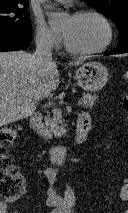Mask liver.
Returning <instances> with one entry per match:
<instances>
[{"label":"liver","mask_w":128,"mask_h":213,"mask_svg":"<svg viewBox=\"0 0 128 213\" xmlns=\"http://www.w3.org/2000/svg\"><path fill=\"white\" fill-rule=\"evenodd\" d=\"M59 83L55 62L42 67L33 54L0 52V127L31 116L37 101L48 97Z\"/></svg>","instance_id":"obj_1"}]
</instances>
